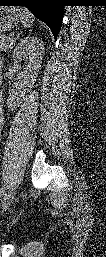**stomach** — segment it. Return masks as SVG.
Masks as SVG:
<instances>
[{"label":"stomach","mask_w":106,"mask_h":257,"mask_svg":"<svg viewBox=\"0 0 106 257\" xmlns=\"http://www.w3.org/2000/svg\"><path fill=\"white\" fill-rule=\"evenodd\" d=\"M23 9L2 7L0 9V31L6 32L14 28L20 21Z\"/></svg>","instance_id":"obj_1"}]
</instances>
